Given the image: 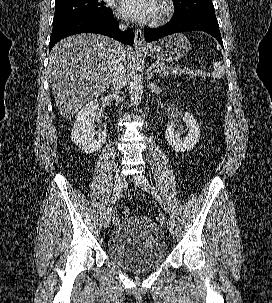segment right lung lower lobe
I'll return each mask as SVG.
<instances>
[{
	"label": "right lung lower lobe",
	"instance_id": "1",
	"mask_svg": "<svg viewBox=\"0 0 272 303\" xmlns=\"http://www.w3.org/2000/svg\"><path fill=\"white\" fill-rule=\"evenodd\" d=\"M118 24L119 23L114 19L113 14L106 16L85 14L55 22L53 23L49 50H51L59 40L82 32L103 34L119 40L122 43L133 45V31L128 29L126 32H121L118 30Z\"/></svg>",
	"mask_w": 272,
	"mask_h": 303
}]
</instances>
